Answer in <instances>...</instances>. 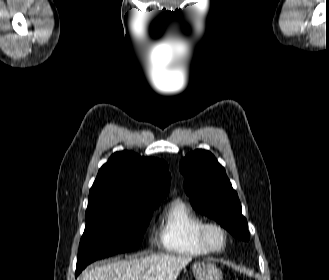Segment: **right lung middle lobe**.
Wrapping results in <instances>:
<instances>
[{
  "label": "right lung middle lobe",
  "mask_w": 329,
  "mask_h": 280,
  "mask_svg": "<svg viewBox=\"0 0 329 280\" xmlns=\"http://www.w3.org/2000/svg\"><path fill=\"white\" fill-rule=\"evenodd\" d=\"M160 202L114 200L87 213L75 276L97 259L137 249Z\"/></svg>",
  "instance_id": "dd1d6c3e"
}]
</instances>
